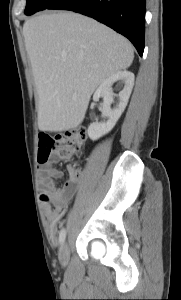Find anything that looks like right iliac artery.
<instances>
[{
    "mask_svg": "<svg viewBox=\"0 0 181 300\" xmlns=\"http://www.w3.org/2000/svg\"><path fill=\"white\" fill-rule=\"evenodd\" d=\"M65 237H66V231H65V229H61V231L59 233V242H60V244L64 243Z\"/></svg>",
    "mask_w": 181,
    "mask_h": 300,
    "instance_id": "obj_1",
    "label": "right iliac artery"
}]
</instances>
